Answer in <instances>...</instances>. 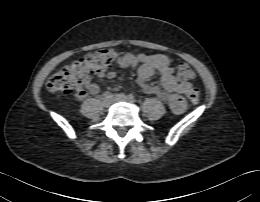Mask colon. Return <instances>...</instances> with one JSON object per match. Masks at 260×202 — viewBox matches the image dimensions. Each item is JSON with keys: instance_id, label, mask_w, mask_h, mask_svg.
<instances>
[{"instance_id": "colon-1", "label": "colon", "mask_w": 260, "mask_h": 202, "mask_svg": "<svg viewBox=\"0 0 260 202\" xmlns=\"http://www.w3.org/2000/svg\"><path fill=\"white\" fill-rule=\"evenodd\" d=\"M117 53L114 49L103 48L86 54L84 57L57 70L48 80L47 88L51 92H61L69 94L82 89L86 80L92 75L104 72L116 59ZM177 74L182 80H192L195 72L183 62L176 65ZM187 96L192 103H197L200 99V92L192 88L187 92Z\"/></svg>"}]
</instances>
